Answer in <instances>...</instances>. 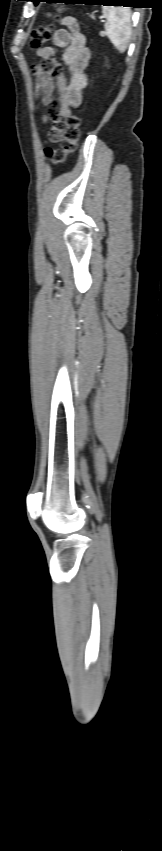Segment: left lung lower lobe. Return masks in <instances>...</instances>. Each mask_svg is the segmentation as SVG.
I'll list each match as a JSON object with an SVG mask.
<instances>
[{"label":"left lung lower lobe","mask_w":162,"mask_h":851,"mask_svg":"<svg viewBox=\"0 0 162 851\" xmlns=\"http://www.w3.org/2000/svg\"><path fill=\"white\" fill-rule=\"evenodd\" d=\"M41 1H45V2H56V0H37V1H36V4H37L38 2H41ZM96 1H98V2H100V3H105V4H103V5H122V6H127L128 4H133V3H134V0H96ZM67 3H76V2H75V1H72V2H67Z\"/></svg>","instance_id":"0a47b994"}]
</instances>
